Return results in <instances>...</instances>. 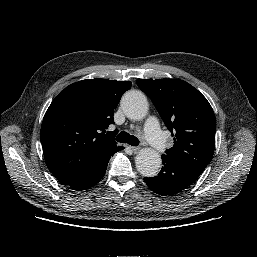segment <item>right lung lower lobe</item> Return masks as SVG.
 <instances>
[{"instance_id": "obj_1", "label": "right lung lower lobe", "mask_w": 257, "mask_h": 257, "mask_svg": "<svg viewBox=\"0 0 257 257\" xmlns=\"http://www.w3.org/2000/svg\"><path fill=\"white\" fill-rule=\"evenodd\" d=\"M122 149H120V150H122ZM120 150H118V151H120ZM116 152H114L113 154L106 157L94 169L88 171L82 177H80L73 183L69 184L68 186H70L74 190H85V189L91 188L92 186L96 185L102 179V177L105 175L109 159Z\"/></svg>"}]
</instances>
